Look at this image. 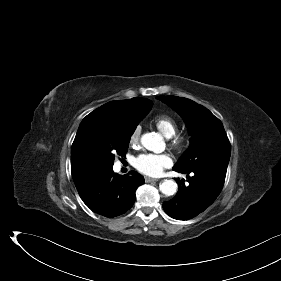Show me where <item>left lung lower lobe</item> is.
<instances>
[{"mask_svg": "<svg viewBox=\"0 0 281 281\" xmlns=\"http://www.w3.org/2000/svg\"><path fill=\"white\" fill-rule=\"evenodd\" d=\"M173 170L187 174L189 185L185 186L184 180L177 178L179 191L173 199L163 203V208L174 219L188 220L203 212L218 197L227 167L206 165L192 170L173 167Z\"/></svg>", "mask_w": 281, "mask_h": 281, "instance_id": "obj_1", "label": "left lung lower lobe"}]
</instances>
